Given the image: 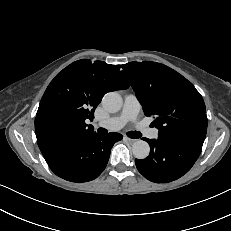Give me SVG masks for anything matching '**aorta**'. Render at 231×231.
<instances>
[{"label":"aorta","mask_w":231,"mask_h":231,"mask_svg":"<svg viewBox=\"0 0 231 231\" xmlns=\"http://www.w3.org/2000/svg\"><path fill=\"white\" fill-rule=\"evenodd\" d=\"M122 103V98L117 92H109L102 99L104 109L111 113L118 112ZM132 153L137 159H145L150 153V146L143 140H137L132 145Z\"/></svg>","instance_id":"obj_1"}]
</instances>
